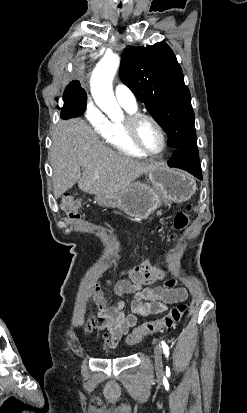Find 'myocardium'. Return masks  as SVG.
Masks as SVG:
<instances>
[{
    "instance_id": "f54148a6",
    "label": "myocardium",
    "mask_w": 247,
    "mask_h": 413,
    "mask_svg": "<svg viewBox=\"0 0 247 413\" xmlns=\"http://www.w3.org/2000/svg\"><path fill=\"white\" fill-rule=\"evenodd\" d=\"M142 121H147L151 123L155 128H157L162 136L163 139V146L157 152H152L146 149L140 142L138 137V127ZM127 130L129 138L136 149L141 151L148 157L152 158H161L167 151L168 148V137L165 129L161 126V124L154 119L152 116L142 113L134 114L129 121L127 122Z\"/></svg>"
}]
</instances>
